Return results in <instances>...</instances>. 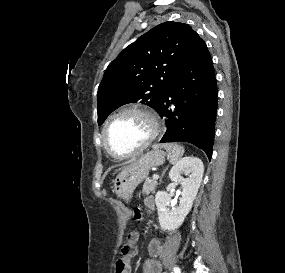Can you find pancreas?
Listing matches in <instances>:
<instances>
[{
	"mask_svg": "<svg viewBox=\"0 0 285 273\" xmlns=\"http://www.w3.org/2000/svg\"><path fill=\"white\" fill-rule=\"evenodd\" d=\"M157 187V181L152 179H146L143 185L142 193L143 195H147L150 192L154 193Z\"/></svg>",
	"mask_w": 285,
	"mask_h": 273,
	"instance_id": "pancreas-1",
	"label": "pancreas"
}]
</instances>
